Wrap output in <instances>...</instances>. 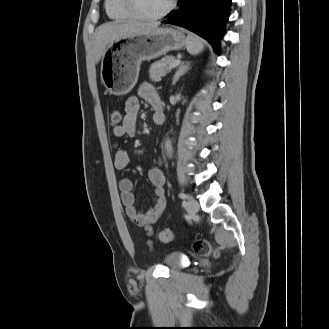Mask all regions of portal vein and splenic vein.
Listing matches in <instances>:
<instances>
[{"mask_svg": "<svg viewBox=\"0 0 329 329\" xmlns=\"http://www.w3.org/2000/svg\"><path fill=\"white\" fill-rule=\"evenodd\" d=\"M180 63V58L176 59L172 64L170 68L176 67Z\"/></svg>", "mask_w": 329, "mask_h": 329, "instance_id": "1", "label": "portal vein and splenic vein"}]
</instances>
